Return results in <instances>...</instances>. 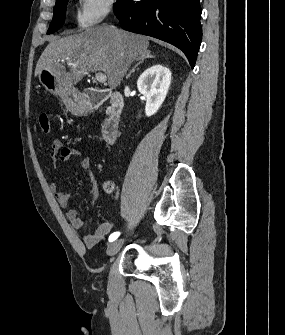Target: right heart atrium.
Listing matches in <instances>:
<instances>
[{"label":"right heart atrium","instance_id":"d8ad5b80","mask_svg":"<svg viewBox=\"0 0 285 335\" xmlns=\"http://www.w3.org/2000/svg\"><path fill=\"white\" fill-rule=\"evenodd\" d=\"M113 1H81L73 13L75 23L89 28L102 22L110 13Z\"/></svg>","mask_w":285,"mask_h":335}]
</instances>
